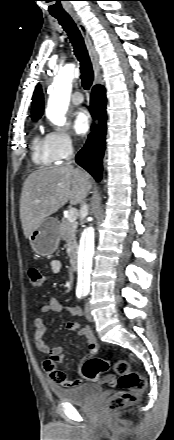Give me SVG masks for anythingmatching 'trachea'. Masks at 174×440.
Returning <instances> with one entry per match:
<instances>
[{"instance_id":"obj_1","label":"trachea","mask_w":174,"mask_h":440,"mask_svg":"<svg viewBox=\"0 0 174 440\" xmlns=\"http://www.w3.org/2000/svg\"><path fill=\"white\" fill-rule=\"evenodd\" d=\"M66 31L72 43L74 54L80 62L81 81L84 89L88 90L93 82V69L92 64L86 49L84 39L80 30L73 22L70 16H54Z\"/></svg>"}]
</instances>
